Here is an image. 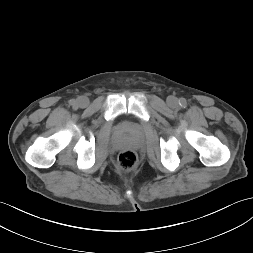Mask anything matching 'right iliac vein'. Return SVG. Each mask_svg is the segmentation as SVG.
I'll return each mask as SVG.
<instances>
[{
	"mask_svg": "<svg viewBox=\"0 0 253 253\" xmlns=\"http://www.w3.org/2000/svg\"><path fill=\"white\" fill-rule=\"evenodd\" d=\"M88 104H89V99H88L87 97L82 96V97H80V98L77 100V105H78L79 107L84 108V107H86Z\"/></svg>",
	"mask_w": 253,
	"mask_h": 253,
	"instance_id": "63e3f726",
	"label": "right iliac vein"
}]
</instances>
